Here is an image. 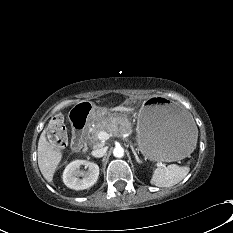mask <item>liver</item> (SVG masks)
I'll use <instances>...</instances> for the list:
<instances>
[{"label":"liver","mask_w":233,"mask_h":233,"mask_svg":"<svg viewBox=\"0 0 233 233\" xmlns=\"http://www.w3.org/2000/svg\"><path fill=\"white\" fill-rule=\"evenodd\" d=\"M113 111L130 112L132 109L119 106L114 108ZM46 132L47 129L42 132L38 142V165L43 177L48 182H52L56 168L62 159V152L59 145L55 143L50 144L47 141Z\"/></svg>","instance_id":"liver-1"}]
</instances>
